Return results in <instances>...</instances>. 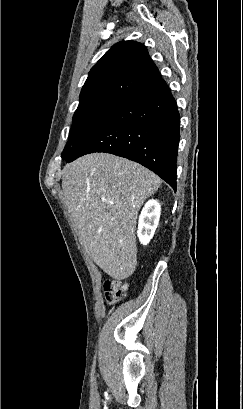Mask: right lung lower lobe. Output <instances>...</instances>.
<instances>
[{"label":"right lung lower lobe","instance_id":"right-lung-lower-lobe-1","mask_svg":"<svg viewBox=\"0 0 243 409\" xmlns=\"http://www.w3.org/2000/svg\"><path fill=\"white\" fill-rule=\"evenodd\" d=\"M180 115L168 86L158 79L126 98L115 113L66 158L94 152L140 163L176 191Z\"/></svg>","mask_w":243,"mask_h":409}]
</instances>
